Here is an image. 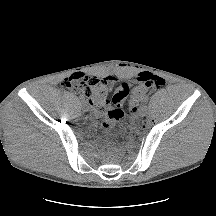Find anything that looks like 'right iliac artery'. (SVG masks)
<instances>
[{
  "label": "right iliac artery",
  "mask_w": 216,
  "mask_h": 216,
  "mask_svg": "<svg viewBox=\"0 0 216 216\" xmlns=\"http://www.w3.org/2000/svg\"><path fill=\"white\" fill-rule=\"evenodd\" d=\"M78 101H79V105H81L83 107L82 109L85 111L87 108L85 107L86 105L84 104V99L80 98Z\"/></svg>",
  "instance_id": "right-iliac-artery-1"
}]
</instances>
